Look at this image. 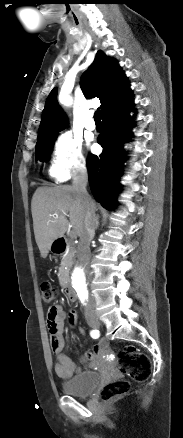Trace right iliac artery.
I'll use <instances>...</instances> for the list:
<instances>
[{"instance_id":"right-iliac-artery-1","label":"right iliac artery","mask_w":183,"mask_h":438,"mask_svg":"<svg viewBox=\"0 0 183 438\" xmlns=\"http://www.w3.org/2000/svg\"><path fill=\"white\" fill-rule=\"evenodd\" d=\"M90 335H91L92 338L97 339L100 336L99 330H96V329L92 330L90 332Z\"/></svg>"}]
</instances>
